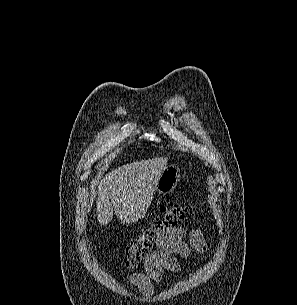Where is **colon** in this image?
<instances>
[{
    "label": "colon",
    "instance_id": "1",
    "mask_svg": "<svg viewBox=\"0 0 297 305\" xmlns=\"http://www.w3.org/2000/svg\"><path fill=\"white\" fill-rule=\"evenodd\" d=\"M188 209L180 204L170 203L162 207L161 214L136 235L125 250L126 267L134 268L152 252L158 234L183 220Z\"/></svg>",
    "mask_w": 297,
    "mask_h": 305
}]
</instances>
